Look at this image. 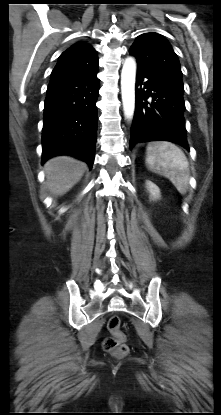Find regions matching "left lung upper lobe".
<instances>
[{
    "instance_id": "obj_1",
    "label": "left lung upper lobe",
    "mask_w": 221,
    "mask_h": 415,
    "mask_svg": "<svg viewBox=\"0 0 221 415\" xmlns=\"http://www.w3.org/2000/svg\"><path fill=\"white\" fill-rule=\"evenodd\" d=\"M129 53L135 56L139 68L184 89L178 57L160 34L150 32L139 35Z\"/></svg>"
}]
</instances>
